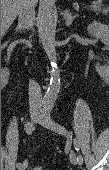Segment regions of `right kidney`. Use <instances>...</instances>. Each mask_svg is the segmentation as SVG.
<instances>
[{"mask_svg":"<svg viewBox=\"0 0 109 170\" xmlns=\"http://www.w3.org/2000/svg\"><path fill=\"white\" fill-rule=\"evenodd\" d=\"M8 77H9V71L6 69L3 71V74H2V82L4 84V82H7L8 81Z\"/></svg>","mask_w":109,"mask_h":170,"instance_id":"right-kidney-1","label":"right kidney"}]
</instances>
